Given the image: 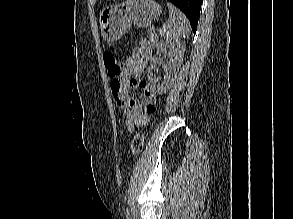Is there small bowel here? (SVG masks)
Returning a JSON list of instances; mask_svg holds the SVG:
<instances>
[{"label":"small bowel","instance_id":"1","mask_svg":"<svg viewBox=\"0 0 293 219\" xmlns=\"http://www.w3.org/2000/svg\"><path fill=\"white\" fill-rule=\"evenodd\" d=\"M152 55V48L146 41L134 49L132 55L126 60L123 71L117 78L118 90H114L111 82V91L117 104L123 108L125 125L129 132H136L148 125L150 113L147 107L155 108L157 96L144 79L136 78L134 75L141 73ZM132 88L143 90L142 101L129 98V91Z\"/></svg>","mask_w":293,"mask_h":219}]
</instances>
